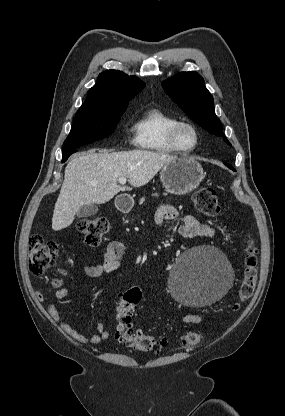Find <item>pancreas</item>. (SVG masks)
<instances>
[{
    "label": "pancreas",
    "mask_w": 285,
    "mask_h": 416,
    "mask_svg": "<svg viewBox=\"0 0 285 416\" xmlns=\"http://www.w3.org/2000/svg\"><path fill=\"white\" fill-rule=\"evenodd\" d=\"M152 196H156V198H158L159 194H152ZM164 196H167V194H164ZM143 202H145V198H140L139 204H143Z\"/></svg>",
    "instance_id": "obj_1"
}]
</instances>
